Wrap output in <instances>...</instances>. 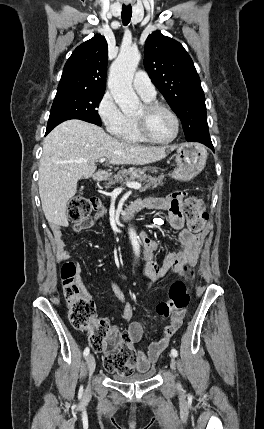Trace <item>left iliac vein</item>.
<instances>
[{
    "label": "left iliac vein",
    "mask_w": 264,
    "mask_h": 429,
    "mask_svg": "<svg viewBox=\"0 0 264 429\" xmlns=\"http://www.w3.org/2000/svg\"><path fill=\"white\" fill-rule=\"evenodd\" d=\"M170 367L173 371L176 370V360L172 357L170 361Z\"/></svg>",
    "instance_id": "4c4485c4"
}]
</instances>
